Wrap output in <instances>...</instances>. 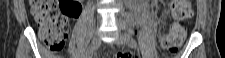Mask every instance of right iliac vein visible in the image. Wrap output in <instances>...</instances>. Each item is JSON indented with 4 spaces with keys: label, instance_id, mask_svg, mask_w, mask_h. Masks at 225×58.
<instances>
[{
    "label": "right iliac vein",
    "instance_id": "right-iliac-vein-1",
    "mask_svg": "<svg viewBox=\"0 0 225 58\" xmlns=\"http://www.w3.org/2000/svg\"><path fill=\"white\" fill-rule=\"evenodd\" d=\"M99 45H100L99 34L95 33V35L93 36V38L91 40L89 49L94 53L97 50V48L99 47Z\"/></svg>",
    "mask_w": 225,
    "mask_h": 58
}]
</instances>
